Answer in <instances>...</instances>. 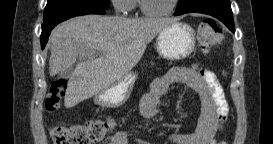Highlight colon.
<instances>
[{
  "label": "colon",
  "instance_id": "obj_1",
  "mask_svg": "<svg viewBox=\"0 0 273 144\" xmlns=\"http://www.w3.org/2000/svg\"><path fill=\"white\" fill-rule=\"evenodd\" d=\"M221 38L222 32L215 20H202L199 26V39L204 48L214 46ZM66 89V80L59 79L52 83L46 99L48 111L60 109ZM112 127V121L96 119L82 125L54 126L50 129V134L55 144H93L100 142Z\"/></svg>",
  "mask_w": 273,
  "mask_h": 144
}]
</instances>
